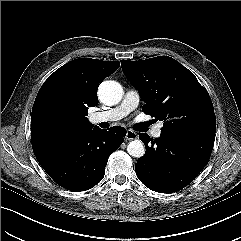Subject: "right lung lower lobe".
Here are the masks:
<instances>
[{
    "mask_svg": "<svg viewBox=\"0 0 241 241\" xmlns=\"http://www.w3.org/2000/svg\"><path fill=\"white\" fill-rule=\"evenodd\" d=\"M126 129L95 126L63 139L33 146L46 173L71 191L91 189L105 174L108 157L124 142Z\"/></svg>",
    "mask_w": 241,
    "mask_h": 241,
    "instance_id": "right-lung-lower-lobe-1",
    "label": "right lung lower lobe"
}]
</instances>
